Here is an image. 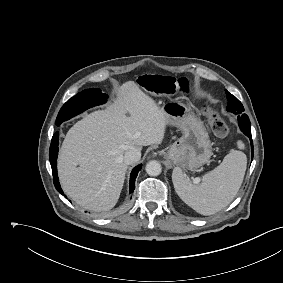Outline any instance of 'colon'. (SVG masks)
<instances>
[{
  "instance_id": "colon-1",
  "label": "colon",
  "mask_w": 283,
  "mask_h": 283,
  "mask_svg": "<svg viewBox=\"0 0 283 283\" xmlns=\"http://www.w3.org/2000/svg\"><path fill=\"white\" fill-rule=\"evenodd\" d=\"M138 84L147 92L154 95H169L175 92H186L189 83L186 79L176 80L167 76L144 75L139 78ZM212 130L217 136L224 137L229 133L225 119L217 110L204 107Z\"/></svg>"
}]
</instances>
